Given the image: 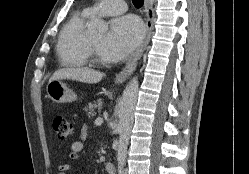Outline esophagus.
Masks as SVG:
<instances>
[{
  "mask_svg": "<svg viewBox=\"0 0 249 174\" xmlns=\"http://www.w3.org/2000/svg\"><path fill=\"white\" fill-rule=\"evenodd\" d=\"M144 12H145V23H146V34L144 37V41L141 46L135 51V53L130 57L128 60L125 68L116 75L115 81L117 83L124 82L135 70L138 60L143 55V52L147 48L150 38L153 33V20H154V13L153 9L150 5L149 0H144Z\"/></svg>",
  "mask_w": 249,
  "mask_h": 174,
  "instance_id": "esophagus-1",
  "label": "esophagus"
}]
</instances>
